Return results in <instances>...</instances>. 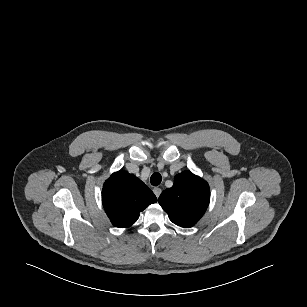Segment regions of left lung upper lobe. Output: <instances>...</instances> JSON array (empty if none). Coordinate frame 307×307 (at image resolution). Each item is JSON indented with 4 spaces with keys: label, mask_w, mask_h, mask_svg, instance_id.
Returning a JSON list of instances; mask_svg holds the SVG:
<instances>
[{
    "label": "left lung upper lobe",
    "mask_w": 307,
    "mask_h": 307,
    "mask_svg": "<svg viewBox=\"0 0 307 307\" xmlns=\"http://www.w3.org/2000/svg\"><path fill=\"white\" fill-rule=\"evenodd\" d=\"M210 201V190L206 181L190 171L174 178V185L164 190L159 204L169 219L184 228L192 227L205 213Z\"/></svg>",
    "instance_id": "1"
}]
</instances>
